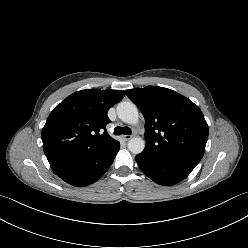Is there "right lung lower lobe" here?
<instances>
[{"instance_id":"98d812e1","label":"right lung lower lobe","mask_w":248,"mask_h":248,"mask_svg":"<svg viewBox=\"0 0 248 248\" xmlns=\"http://www.w3.org/2000/svg\"><path fill=\"white\" fill-rule=\"evenodd\" d=\"M120 144L86 157H54L48 161L54 173L65 182L81 187L97 181L111 166Z\"/></svg>"}]
</instances>
